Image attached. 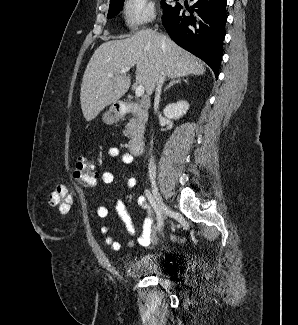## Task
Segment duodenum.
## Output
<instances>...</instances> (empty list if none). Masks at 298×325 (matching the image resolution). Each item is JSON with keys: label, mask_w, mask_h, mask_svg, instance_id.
<instances>
[{"label": "duodenum", "mask_w": 298, "mask_h": 325, "mask_svg": "<svg viewBox=\"0 0 298 325\" xmlns=\"http://www.w3.org/2000/svg\"><path fill=\"white\" fill-rule=\"evenodd\" d=\"M150 105L149 98H143L140 103L125 102L117 107V113L124 116L131 112H142ZM145 148V138L141 134L133 136L129 142V149L133 155H140Z\"/></svg>", "instance_id": "duodenum-1"}]
</instances>
